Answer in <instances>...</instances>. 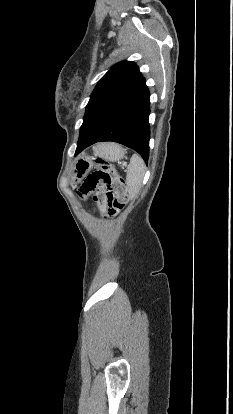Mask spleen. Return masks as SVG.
I'll use <instances>...</instances> for the list:
<instances>
[{
  "label": "spleen",
  "instance_id": "1",
  "mask_svg": "<svg viewBox=\"0 0 233 414\" xmlns=\"http://www.w3.org/2000/svg\"><path fill=\"white\" fill-rule=\"evenodd\" d=\"M145 174V164L142 158L133 154L127 168L126 184L131 199H135L140 191Z\"/></svg>",
  "mask_w": 233,
  "mask_h": 414
}]
</instances>
